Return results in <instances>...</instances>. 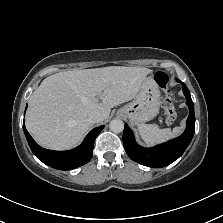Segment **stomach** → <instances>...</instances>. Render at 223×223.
<instances>
[{
	"instance_id": "0dacf381",
	"label": "stomach",
	"mask_w": 223,
	"mask_h": 223,
	"mask_svg": "<svg viewBox=\"0 0 223 223\" xmlns=\"http://www.w3.org/2000/svg\"><path fill=\"white\" fill-rule=\"evenodd\" d=\"M159 105V87L153 77L149 76L141 83L140 90L134 100L119 109L118 113L127 117L131 123L140 125L157 115Z\"/></svg>"
}]
</instances>
